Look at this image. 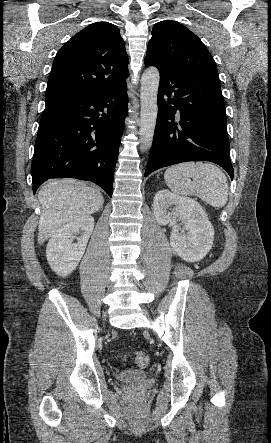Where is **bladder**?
Here are the masks:
<instances>
[{
  "label": "bladder",
  "mask_w": 271,
  "mask_h": 443,
  "mask_svg": "<svg viewBox=\"0 0 271 443\" xmlns=\"http://www.w3.org/2000/svg\"><path fill=\"white\" fill-rule=\"evenodd\" d=\"M147 376L148 373L145 370L124 369L116 375V378L121 382H137L144 380Z\"/></svg>",
  "instance_id": "obj_1"
}]
</instances>
